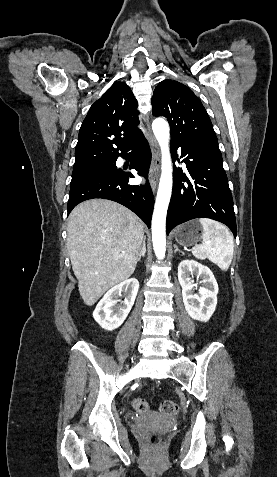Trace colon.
Masks as SVG:
<instances>
[{
	"mask_svg": "<svg viewBox=\"0 0 277 477\" xmlns=\"http://www.w3.org/2000/svg\"><path fill=\"white\" fill-rule=\"evenodd\" d=\"M133 408L140 412L145 413L149 411L150 404L144 398H135L133 400ZM160 412L165 415H172L178 411V404L172 400H165L160 404ZM150 443L153 446H158L160 444V437L157 434H152L150 436Z\"/></svg>",
	"mask_w": 277,
	"mask_h": 477,
	"instance_id": "obj_1",
	"label": "colon"
}]
</instances>
